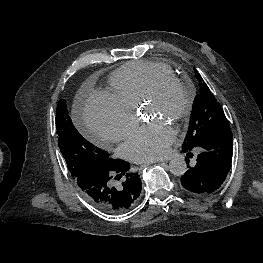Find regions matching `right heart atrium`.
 <instances>
[{
    "mask_svg": "<svg viewBox=\"0 0 263 263\" xmlns=\"http://www.w3.org/2000/svg\"><path fill=\"white\" fill-rule=\"evenodd\" d=\"M84 122L102 146L123 139L136 122L134 111L110 93L95 92L84 108Z\"/></svg>",
    "mask_w": 263,
    "mask_h": 263,
    "instance_id": "obj_1",
    "label": "right heart atrium"
}]
</instances>
